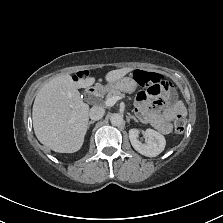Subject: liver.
Masks as SVG:
<instances>
[{"instance_id":"obj_1","label":"liver","mask_w":223,"mask_h":223,"mask_svg":"<svg viewBox=\"0 0 223 223\" xmlns=\"http://www.w3.org/2000/svg\"><path fill=\"white\" fill-rule=\"evenodd\" d=\"M133 68H121L107 73L111 83L121 79ZM95 82L93 77L72 80L69 74L61 75L45 84L37 93L33 104V127L38 140L59 153L78 151L87 131L89 106L78 91ZM100 84H96L98 86Z\"/></svg>"}]
</instances>
